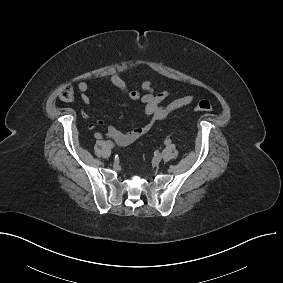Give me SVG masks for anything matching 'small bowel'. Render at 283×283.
<instances>
[{"label": "small bowel", "mask_w": 283, "mask_h": 283, "mask_svg": "<svg viewBox=\"0 0 283 283\" xmlns=\"http://www.w3.org/2000/svg\"><path fill=\"white\" fill-rule=\"evenodd\" d=\"M110 81L123 95L132 100H139L144 107V113L148 117V122L142 126L136 127L130 131L122 132L114 126L107 129V135L113 138L120 145H129L142 138L150 132L153 126L163 120L172 111L188 105L192 101L191 96H184L165 104L169 96L168 91L163 90L156 92L153 88L152 80H145L141 84H136L134 88H128L125 81L117 74L110 76ZM89 85L86 81L78 83L80 97L85 105L90 104V97L87 92ZM141 90L144 92L141 94ZM102 122L97 121L94 125H101Z\"/></svg>", "instance_id": "obj_1"}]
</instances>
